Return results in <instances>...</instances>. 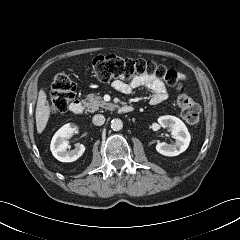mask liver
Returning <instances> with one entry per match:
<instances>
[{
    "mask_svg": "<svg viewBox=\"0 0 240 240\" xmlns=\"http://www.w3.org/2000/svg\"><path fill=\"white\" fill-rule=\"evenodd\" d=\"M35 115L37 132L40 134L45 129L50 117V107L46 93L43 90L39 92Z\"/></svg>",
    "mask_w": 240,
    "mask_h": 240,
    "instance_id": "6515ba94",
    "label": "liver"
}]
</instances>
